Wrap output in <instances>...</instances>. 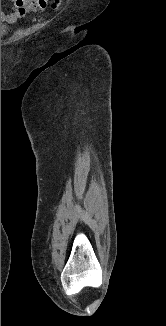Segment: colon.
<instances>
[{"label": "colon", "instance_id": "obj_1", "mask_svg": "<svg viewBox=\"0 0 166 326\" xmlns=\"http://www.w3.org/2000/svg\"><path fill=\"white\" fill-rule=\"evenodd\" d=\"M59 3H60V0H54L53 2H52V8H56L58 5H59Z\"/></svg>", "mask_w": 166, "mask_h": 326}]
</instances>
